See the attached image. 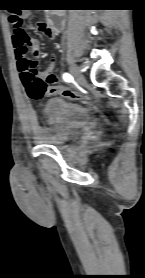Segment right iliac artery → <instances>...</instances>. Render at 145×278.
Returning a JSON list of instances; mask_svg holds the SVG:
<instances>
[{"label": "right iliac artery", "mask_w": 145, "mask_h": 278, "mask_svg": "<svg viewBox=\"0 0 145 278\" xmlns=\"http://www.w3.org/2000/svg\"><path fill=\"white\" fill-rule=\"evenodd\" d=\"M63 79L65 82H68V83H71L74 81L73 77L68 73L63 74Z\"/></svg>", "instance_id": "1"}]
</instances>
